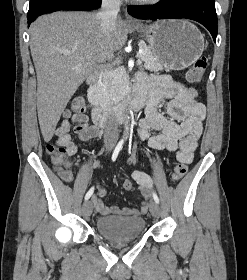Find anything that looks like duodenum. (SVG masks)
<instances>
[{"mask_svg": "<svg viewBox=\"0 0 247 280\" xmlns=\"http://www.w3.org/2000/svg\"><path fill=\"white\" fill-rule=\"evenodd\" d=\"M100 74L95 73L91 75L88 79V96L93 103L92 108V119L94 123L103 127L112 120L123 121L128 117L129 112H138L143 108L145 100V91L141 88H135L130 96L129 102L123 104L116 109H108L99 105L96 100L95 86L99 80Z\"/></svg>", "mask_w": 247, "mask_h": 280, "instance_id": "duodenum-1", "label": "duodenum"}]
</instances>
